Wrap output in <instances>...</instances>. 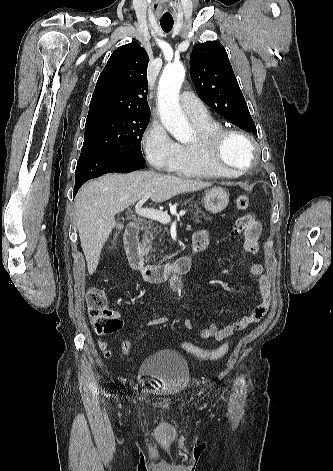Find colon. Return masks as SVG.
<instances>
[{"label":"colon","instance_id":"obj_1","mask_svg":"<svg viewBox=\"0 0 333 471\" xmlns=\"http://www.w3.org/2000/svg\"><path fill=\"white\" fill-rule=\"evenodd\" d=\"M248 205L249 197L247 195L243 194L237 198L236 208L238 210H245ZM86 302L92 324L98 334L111 333L121 327V320L116 318L108 309L107 298L104 291L98 288L90 289L87 293ZM181 347L186 352L200 359L217 360L227 353L229 344L224 343L217 349L213 350L200 348L190 342H182ZM121 348L125 355H129L132 351V342L130 340H124Z\"/></svg>","mask_w":333,"mask_h":471}]
</instances>
